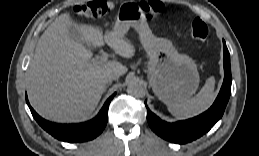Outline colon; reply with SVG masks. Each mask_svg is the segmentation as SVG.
Listing matches in <instances>:
<instances>
[{"instance_id": "5ec220e1", "label": "colon", "mask_w": 259, "mask_h": 156, "mask_svg": "<svg viewBox=\"0 0 259 156\" xmlns=\"http://www.w3.org/2000/svg\"><path fill=\"white\" fill-rule=\"evenodd\" d=\"M113 7L112 2L108 0H95L76 6L75 12L85 18H101L108 15L113 10ZM142 9L148 19H154L162 13L163 6L158 1L148 0L142 3ZM191 33L200 43L207 42L209 30L203 20L196 19L193 21Z\"/></svg>"}]
</instances>
